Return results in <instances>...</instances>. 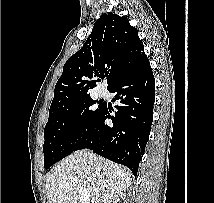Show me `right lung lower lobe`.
<instances>
[{"label": "right lung lower lobe", "instance_id": "right-lung-lower-lobe-1", "mask_svg": "<svg viewBox=\"0 0 214 203\" xmlns=\"http://www.w3.org/2000/svg\"><path fill=\"white\" fill-rule=\"evenodd\" d=\"M108 91L116 94L117 112L111 116L104 104L91 131L74 151L89 148L127 166L136 176L153 121L155 81L150 63L121 78ZM107 118L112 124L105 122Z\"/></svg>", "mask_w": 214, "mask_h": 203}]
</instances>
